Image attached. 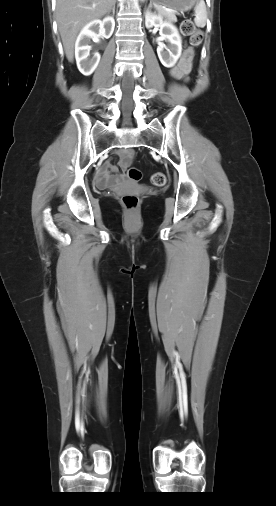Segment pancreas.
I'll return each instance as SVG.
<instances>
[{
  "label": "pancreas",
  "mask_w": 276,
  "mask_h": 506,
  "mask_svg": "<svg viewBox=\"0 0 276 506\" xmlns=\"http://www.w3.org/2000/svg\"><path fill=\"white\" fill-rule=\"evenodd\" d=\"M157 11L160 13L161 16L167 18L169 21H171V22L177 21V18L173 13L167 12L166 10H164L161 7H158Z\"/></svg>",
  "instance_id": "pancreas-1"
}]
</instances>
